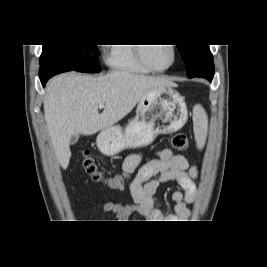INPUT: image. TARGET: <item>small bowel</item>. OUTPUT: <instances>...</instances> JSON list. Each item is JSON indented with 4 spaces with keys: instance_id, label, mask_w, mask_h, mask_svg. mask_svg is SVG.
Segmentation results:
<instances>
[{
    "instance_id": "1",
    "label": "small bowel",
    "mask_w": 267,
    "mask_h": 267,
    "mask_svg": "<svg viewBox=\"0 0 267 267\" xmlns=\"http://www.w3.org/2000/svg\"><path fill=\"white\" fill-rule=\"evenodd\" d=\"M156 155V159L144 164L140 153L125 158L120 175H124V180L128 179L131 202H107L103 206V210L113 213L118 222H127L133 213L152 222H176L190 217L188 205L195 200L197 169L189 166L184 156L168 149L157 151ZM135 172L136 175L132 178ZM170 181H176L180 189L172 193L175 213L165 214L155 206L154 197L158 187Z\"/></svg>"
}]
</instances>
